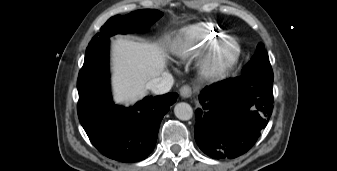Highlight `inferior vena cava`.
Segmentation results:
<instances>
[{"mask_svg": "<svg viewBox=\"0 0 337 171\" xmlns=\"http://www.w3.org/2000/svg\"><path fill=\"white\" fill-rule=\"evenodd\" d=\"M173 83V76L168 72H164L162 76L149 81L147 88L155 94H164L170 91Z\"/></svg>", "mask_w": 337, "mask_h": 171, "instance_id": "602c4592", "label": "inferior vena cava"}]
</instances>
